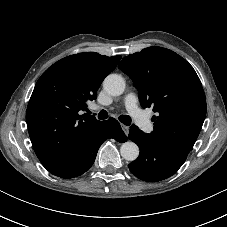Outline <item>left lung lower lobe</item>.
<instances>
[{
    "label": "left lung lower lobe",
    "instance_id": "left-lung-lower-lobe-1",
    "mask_svg": "<svg viewBox=\"0 0 227 227\" xmlns=\"http://www.w3.org/2000/svg\"><path fill=\"white\" fill-rule=\"evenodd\" d=\"M128 138L141 150L138 159L128 167L132 174L144 181L157 182L169 178L186 160V156L165 148L135 125L130 127Z\"/></svg>",
    "mask_w": 227,
    "mask_h": 227
}]
</instances>
